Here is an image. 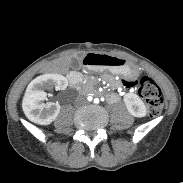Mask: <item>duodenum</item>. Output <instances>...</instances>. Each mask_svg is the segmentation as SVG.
Wrapping results in <instances>:
<instances>
[{
    "instance_id": "obj_1",
    "label": "duodenum",
    "mask_w": 183,
    "mask_h": 183,
    "mask_svg": "<svg viewBox=\"0 0 183 183\" xmlns=\"http://www.w3.org/2000/svg\"><path fill=\"white\" fill-rule=\"evenodd\" d=\"M83 78V73L80 70H75L72 74L68 75L69 84L74 87Z\"/></svg>"
}]
</instances>
